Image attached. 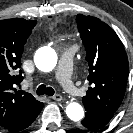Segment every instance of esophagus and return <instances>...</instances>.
I'll use <instances>...</instances> for the list:
<instances>
[{
    "mask_svg": "<svg viewBox=\"0 0 133 133\" xmlns=\"http://www.w3.org/2000/svg\"><path fill=\"white\" fill-rule=\"evenodd\" d=\"M51 98L55 101H61L62 100V96L60 94H56V95L52 96Z\"/></svg>",
    "mask_w": 133,
    "mask_h": 133,
    "instance_id": "esophagus-1",
    "label": "esophagus"
}]
</instances>
